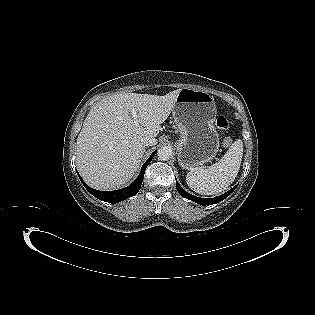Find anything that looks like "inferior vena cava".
Segmentation results:
<instances>
[{
  "mask_svg": "<svg viewBox=\"0 0 315 315\" xmlns=\"http://www.w3.org/2000/svg\"><path fill=\"white\" fill-rule=\"evenodd\" d=\"M142 143H143L145 146H152V145L155 144V139L150 138V137H145V138L142 140Z\"/></svg>",
  "mask_w": 315,
  "mask_h": 315,
  "instance_id": "inferior-vena-cava-1",
  "label": "inferior vena cava"
}]
</instances>
